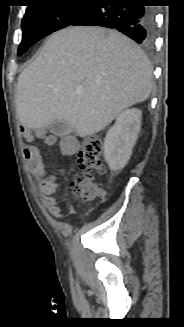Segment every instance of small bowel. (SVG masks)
<instances>
[{
  "mask_svg": "<svg viewBox=\"0 0 184 327\" xmlns=\"http://www.w3.org/2000/svg\"><path fill=\"white\" fill-rule=\"evenodd\" d=\"M21 131L25 137L31 138L32 132L30 129L22 126ZM35 135L42 138L46 143L54 145L56 139L49 136L45 129H39ZM60 151L64 155H72L75 153L78 143L73 137H64L58 142ZM24 157L34 174L39 177L41 192L44 196V202L48 208L49 213L56 217H62V203L55 198V194L59 189V180L51 173L46 171L41 152L38 147L28 146L24 149Z\"/></svg>",
  "mask_w": 184,
  "mask_h": 327,
  "instance_id": "c3829d8e",
  "label": "small bowel"
}]
</instances>
